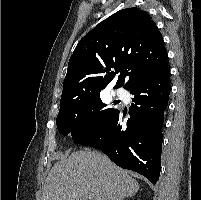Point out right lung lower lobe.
I'll list each match as a JSON object with an SVG mask.
<instances>
[{
	"label": "right lung lower lobe",
	"mask_w": 201,
	"mask_h": 200,
	"mask_svg": "<svg viewBox=\"0 0 201 200\" xmlns=\"http://www.w3.org/2000/svg\"><path fill=\"white\" fill-rule=\"evenodd\" d=\"M169 76L168 68L130 90L134 98L126 128H122V114L117 110L100 129L74 143L101 149L118 166L156 184L161 170V128L171 90Z\"/></svg>",
	"instance_id": "obj_1"
}]
</instances>
